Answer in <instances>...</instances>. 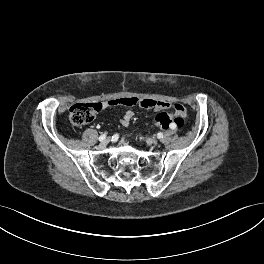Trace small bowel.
I'll return each mask as SVG.
<instances>
[{
  "label": "small bowel",
  "instance_id": "small-bowel-1",
  "mask_svg": "<svg viewBox=\"0 0 264 264\" xmlns=\"http://www.w3.org/2000/svg\"><path fill=\"white\" fill-rule=\"evenodd\" d=\"M130 99L133 100V105H139L140 107L147 109V110H151V111H161V110H166V109H170L173 108L174 110H176L178 107H181L182 105L180 104H172L169 102H165V101H157V100H153V99H137L134 97H129ZM103 107H108L111 106L109 105L108 102H104ZM134 113L132 110H126L125 113L123 114L120 123L122 126L127 127L131 120L133 119Z\"/></svg>",
  "mask_w": 264,
  "mask_h": 264
}]
</instances>
